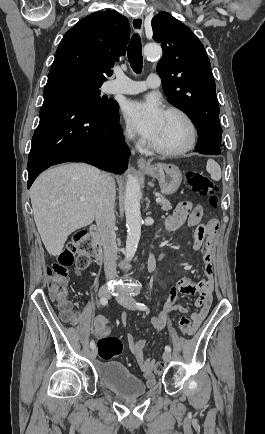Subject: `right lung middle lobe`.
I'll use <instances>...</instances> for the list:
<instances>
[{"label":"right lung middle lobe","instance_id":"dd1d6c3e","mask_svg":"<svg viewBox=\"0 0 265 434\" xmlns=\"http://www.w3.org/2000/svg\"><path fill=\"white\" fill-rule=\"evenodd\" d=\"M103 82L80 75L56 74L48 76L45 87H60L82 100L94 114H113L118 108L116 101L100 96Z\"/></svg>","mask_w":265,"mask_h":434}]
</instances>
